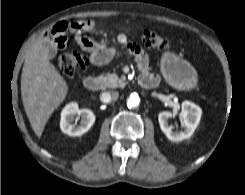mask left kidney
I'll list each match as a JSON object with an SVG mask.
<instances>
[{
    "mask_svg": "<svg viewBox=\"0 0 245 195\" xmlns=\"http://www.w3.org/2000/svg\"><path fill=\"white\" fill-rule=\"evenodd\" d=\"M201 114L202 110L199 106L192 102L184 101L181 109V117L184 123V129L182 131H173L172 127L169 125V119L173 115L170 111L159 113L158 120L161 130L167 138L174 142H180L192 136L196 127L199 125Z\"/></svg>",
    "mask_w": 245,
    "mask_h": 195,
    "instance_id": "5707ae66",
    "label": "left kidney"
}]
</instances>
